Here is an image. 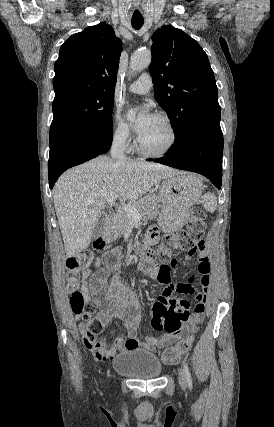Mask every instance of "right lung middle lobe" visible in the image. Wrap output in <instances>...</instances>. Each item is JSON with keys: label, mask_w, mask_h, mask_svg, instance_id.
Returning a JSON list of instances; mask_svg holds the SVG:
<instances>
[{"label": "right lung middle lobe", "mask_w": 274, "mask_h": 427, "mask_svg": "<svg viewBox=\"0 0 274 427\" xmlns=\"http://www.w3.org/2000/svg\"><path fill=\"white\" fill-rule=\"evenodd\" d=\"M113 103L114 95L110 94H71L53 102L50 147L70 134L111 130Z\"/></svg>", "instance_id": "obj_1"}]
</instances>
